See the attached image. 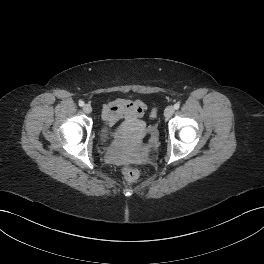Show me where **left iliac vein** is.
<instances>
[{
	"mask_svg": "<svg viewBox=\"0 0 264 264\" xmlns=\"http://www.w3.org/2000/svg\"><path fill=\"white\" fill-rule=\"evenodd\" d=\"M174 113V108L172 106H168L165 111H164V115L166 118H170Z\"/></svg>",
	"mask_w": 264,
	"mask_h": 264,
	"instance_id": "4c4485c4",
	"label": "left iliac vein"
}]
</instances>
